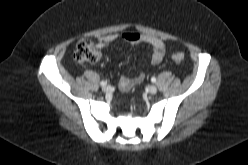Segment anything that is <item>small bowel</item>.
<instances>
[{"mask_svg":"<svg viewBox=\"0 0 248 165\" xmlns=\"http://www.w3.org/2000/svg\"><path fill=\"white\" fill-rule=\"evenodd\" d=\"M117 40H123L131 44H146L151 48V56L149 58V63L152 65L158 64L165 53V43L158 37L148 34H139L135 32H127L123 34H109L106 36H101L97 39L98 48H106L113 45ZM144 80V74L141 73L134 78L121 77L119 80V89L121 91H128L134 86L140 84Z\"/></svg>","mask_w":248,"mask_h":165,"instance_id":"small-bowel-1","label":"small bowel"}]
</instances>
